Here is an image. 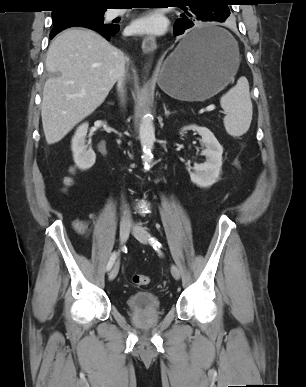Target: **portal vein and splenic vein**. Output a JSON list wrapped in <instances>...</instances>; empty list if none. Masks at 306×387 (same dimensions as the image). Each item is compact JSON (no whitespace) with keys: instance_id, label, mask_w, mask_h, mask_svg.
Returning <instances> with one entry per match:
<instances>
[{"instance_id":"obj_1","label":"portal vein and splenic vein","mask_w":306,"mask_h":387,"mask_svg":"<svg viewBox=\"0 0 306 387\" xmlns=\"http://www.w3.org/2000/svg\"><path fill=\"white\" fill-rule=\"evenodd\" d=\"M213 110H215V105H213V104L207 106V108H206V111H208V112L213 111Z\"/></svg>"}]
</instances>
